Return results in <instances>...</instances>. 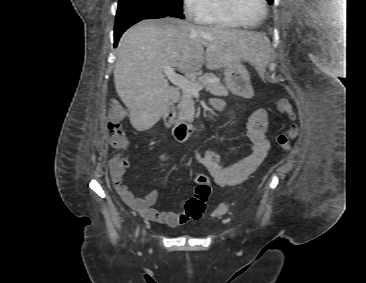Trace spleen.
Masks as SVG:
<instances>
[{
	"label": "spleen",
	"instance_id": "3e777b00",
	"mask_svg": "<svg viewBox=\"0 0 366 283\" xmlns=\"http://www.w3.org/2000/svg\"><path fill=\"white\" fill-rule=\"evenodd\" d=\"M257 70L259 71V73H262L263 68H262V67H260V68H258Z\"/></svg>",
	"mask_w": 366,
	"mask_h": 283
}]
</instances>
